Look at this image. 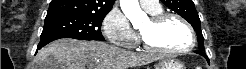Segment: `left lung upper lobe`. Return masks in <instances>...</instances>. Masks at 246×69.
<instances>
[{
    "label": "left lung upper lobe",
    "instance_id": "left-lung-upper-lobe-1",
    "mask_svg": "<svg viewBox=\"0 0 246 69\" xmlns=\"http://www.w3.org/2000/svg\"><path fill=\"white\" fill-rule=\"evenodd\" d=\"M168 8L187 20L197 34L199 51H204V38L200 27V19L192 0H161Z\"/></svg>",
    "mask_w": 246,
    "mask_h": 69
}]
</instances>
